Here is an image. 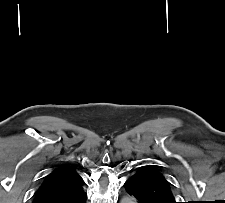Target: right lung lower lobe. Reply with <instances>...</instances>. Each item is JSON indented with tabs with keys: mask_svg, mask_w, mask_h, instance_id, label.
<instances>
[{
	"mask_svg": "<svg viewBox=\"0 0 225 203\" xmlns=\"http://www.w3.org/2000/svg\"><path fill=\"white\" fill-rule=\"evenodd\" d=\"M87 198V194L84 192L78 198L71 200V201H56L51 203H85Z\"/></svg>",
	"mask_w": 225,
	"mask_h": 203,
	"instance_id": "right-lung-lower-lobe-1",
	"label": "right lung lower lobe"
}]
</instances>
